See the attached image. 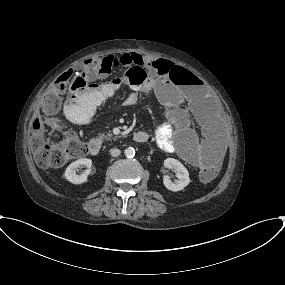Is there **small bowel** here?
<instances>
[{
  "label": "small bowel",
  "mask_w": 285,
  "mask_h": 285,
  "mask_svg": "<svg viewBox=\"0 0 285 285\" xmlns=\"http://www.w3.org/2000/svg\"><path fill=\"white\" fill-rule=\"evenodd\" d=\"M141 57H134L130 54H124L122 61L125 63H138ZM156 58L142 59L149 63L148 73L152 82L142 89H134L123 99V105L132 106L138 102L141 92L149 91L153 87L155 80H168L169 76L159 73L153 65ZM118 91V85L112 81L91 80L83 88L72 92L65 102L64 112L66 117L73 123H85L89 118V113L85 109H79L76 103H81L85 108L92 109L100 106L105 100L112 98ZM195 94L190 97L179 95L176 99L162 103L166 110L167 122L160 124L154 131V138L157 146L165 151H174L179 144L183 145L180 150L181 157L188 163L199 166L201 169L212 165L221 155L225 148V140L221 133L212 127L204 118H199L202 137L199 138L191 129L193 119L192 107L195 102ZM183 108L179 113L177 109ZM174 126H179L187 131V137L184 140L177 138L174 134ZM68 135V133H67Z\"/></svg>",
  "instance_id": "small-bowel-1"
}]
</instances>
